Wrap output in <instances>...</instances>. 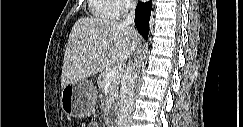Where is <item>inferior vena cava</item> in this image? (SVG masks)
Returning a JSON list of instances; mask_svg holds the SVG:
<instances>
[{
    "mask_svg": "<svg viewBox=\"0 0 243 127\" xmlns=\"http://www.w3.org/2000/svg\"><path fill=\"white\" fill-rule=\"evenodd\" d=\"M126 8L130 9L129 15L122 22L128 26L134 23V11L136 7L135 0H126ZM134 66L129 61L127 70L124 72L121 79L120 89V107L118 116V127H130L132 121V112L134 110Z\"/></svg>",
    "mask_w": 243,
    "mask_h": 127,
    "instance_id": "602c4592",
    "label": "inferior vena cava"
}]
</instances>
